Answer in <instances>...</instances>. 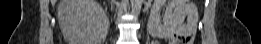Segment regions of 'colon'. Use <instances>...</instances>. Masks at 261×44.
Returning a JSON list of instances; mask_svg holds the SVG:
<instances>
[{
    "instance_id": "5ec220e1",
    "label": "colon",
    "mask_w": 261,
    "mask_h": 44,
    "mask_svg": "<svg viewBox=\"0 0 261 44\" xmlns=\"http://www.w3.org/2000/svg\"><path fill=\"white\" fill-rule=\"evenodd\" d=\"M170 44H183L184 43V40L180 37H177L175 39H171L169 41Z\"/></svg>"
}]
</instances>
